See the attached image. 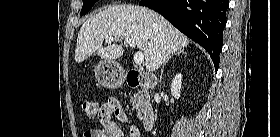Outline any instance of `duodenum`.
<instances>
[{"label":"duodenum","mask_w":280,"mask_h":137,"mask_svg":"<svg viewBox=\"0 0 280 137\" xmlns=\"http://www.w3.org/2000/svg\"><path fill=\"white\" fill-rule=\"evenodd\" d=\"M125 83L131 88L146 87L153 89L157 86L158 81L155 77L141 73L137 70L128 71L125 75ZM155 125V116L149 112L144 116L143 127L145 130H152Z\"/></svg>","instance_id":"duodenum-1"}]
</instances>
